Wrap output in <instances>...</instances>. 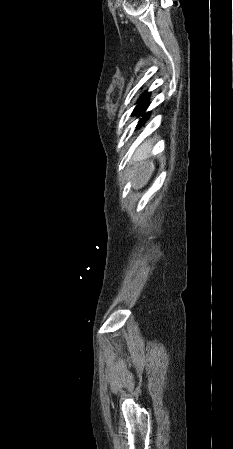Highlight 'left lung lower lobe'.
I'll return each instance as SVG.
<instances>
[{
    "mask_svg": "<svg viewBox=\"0 0 233 449\" xmlns=\"http://www.w3.org/2000/svg\"><path fill=\"white\" fill-rule=\"evenodd\" d=\"M149 117V113H147L146 115H145V117H144V119H143V121L142 122H144V121H146V119ZM141 122V123H142Z\"/></svg>",
    "mask_w": 233,
    "mask_h": 449,
    "instance_id": "obj_1",
    "label": "left lung lower lobe"
}]
</instances>
